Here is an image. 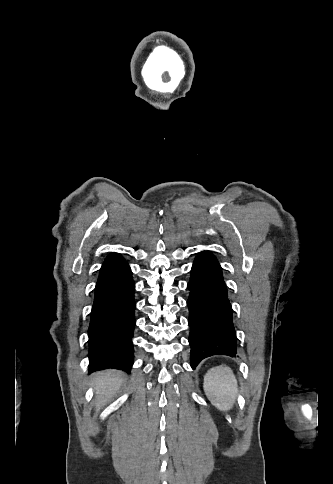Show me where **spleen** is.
I'll use <instances>...</instances> for the list:
<instances>
[{"instance_id": "obj_1", "label": "spleen", "mask_w": 333, "mask_h": 484, "mask_svg": "<svg viewBox=\"0 0 333 484\" xmlns=\"http://www.w3.org/2000/svg\"><path fill=\"white\" fill-rule=\"evenodd\" d=\"M203 389L218 410L229 411L238 393V384L231 369L221 366L206 373Z\"/></svg>"}]
</instances>
